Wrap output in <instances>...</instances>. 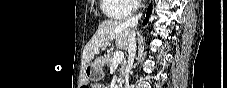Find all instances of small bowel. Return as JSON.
<instances>
[{"label": "small bowel", "instance_id": "small-bowel-1", "mask_svg": "<svg viewBox=\"0 0 227 88\" xmlns=\"http://www.w3.org/2000/svg\"><path fill=\"white\" fill-rule=\"evenodd\" d=\"M93 87L94 88H101L102 86L100 84H94Z\"/></svg>", "mask_w": 227, "mask_h": 88}]
</instances>
